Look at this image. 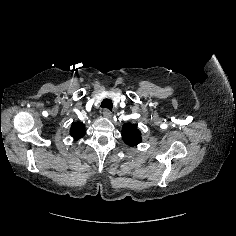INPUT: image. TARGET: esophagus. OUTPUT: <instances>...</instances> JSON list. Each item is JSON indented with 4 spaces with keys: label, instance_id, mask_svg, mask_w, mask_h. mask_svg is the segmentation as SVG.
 I'll list each match as a JSON object with an SVG mask.
<instances>
[{
    "label": "esophagus",
    "instance_id": "34e87169",
    "mask_svg": "<svg viewBox=\"0 0 236 236\" xmlns=\"http://www.w3.org/2000/svg\"><path fill=\"white\" fill-rule=\"evenodd\" d=\"M103 116L106 118H111L112 117V112L109 109H105L103 111Z\"/></svg>",
    "mask_w": 236,
    "mask_h": 236
}]
</instances>
